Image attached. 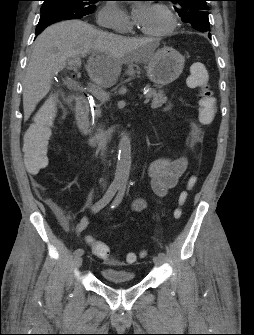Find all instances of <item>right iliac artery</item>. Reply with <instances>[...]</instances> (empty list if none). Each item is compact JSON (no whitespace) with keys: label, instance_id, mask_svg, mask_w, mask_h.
Instances as JSON below:
<instances>
[{"label":"right iliac artery","instance_id":"obj_1","mask_svg":"<svg viewBox=\"0 0 254 335\" xmlns=\"http://www.w3.org/2000/svg\"><path fill=\"white\" fill-rule=\"evenodd\" d=\"M118 189L117 184H111L110 187L108 188L107 192L105 195L92 206V212L97 213L99 212L102 208H104L114 197L116 191ZM84 250L82 248H79L75 250L74 255L75 256H81L83 255Z\"/></svg>","mask_w":254,"mask_h":335}]
</instances>
